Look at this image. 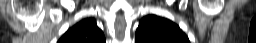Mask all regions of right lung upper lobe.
Segmentation results:
<instances>
[{
  "label": "right lung upper lobe",
  "mask_w": 256,
  "mask_h": 43,
  "mask_svg": "<svg viewBox=\"0 0 256 43\" xmlns=\"http://www.w3.org/2000/svg\"><path fill=\"white\" fill-rule=\"evenodd\" d=\"M58 43H105V37L96 21L90 18L70 28Z\"/></svg>",
  "instance_id": "obj_1"
}]
</instances>
